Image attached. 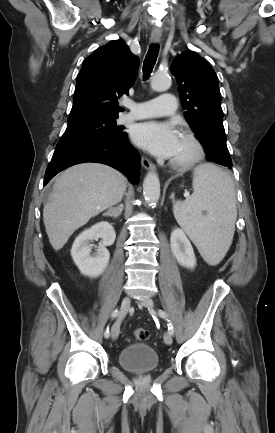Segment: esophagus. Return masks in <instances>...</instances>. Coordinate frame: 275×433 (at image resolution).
I'll list each match as a JSON object with an SVG mask.
<instances>
[{
  "instance_id": "1",
  "label": "esophagus",
  "mask_w": 275,
  "mask_h": 433,
  "mask_svg": "<svg viewBox=\"0 0 275 433\" xmlns=\"http://www.w3.org/2000/svg\"><path fill=\"white\" fill-rule=\"evenodd\" d=\"M160 40H161V34L158 32H152L150 37V42L159 43ZM141 164L147 170H152V171L156 170L155 165L146 157L141 158Z\"/></svg>"
}]
</instances>
